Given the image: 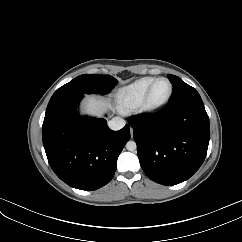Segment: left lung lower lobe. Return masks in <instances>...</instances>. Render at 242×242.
Masks as SVG:
<instances>
[{"mask_svg":"<svg viewBox=\"0 0 242 242\" xmlns=\"http://www.w3.org/2000/svg\"><path fill=\"white\" fill-rule=\"evenodd\" d=\"M140 165L162 185L189 179L202 165L210 139L209 117L201 97L168 103L160 112L128 119Z\"/></svg>","mask_w":242,"mask_h":242,"instance_id":"obj_1","label":"left lung lower lobe"}]
</instances>
